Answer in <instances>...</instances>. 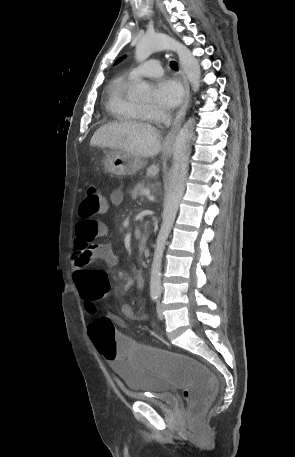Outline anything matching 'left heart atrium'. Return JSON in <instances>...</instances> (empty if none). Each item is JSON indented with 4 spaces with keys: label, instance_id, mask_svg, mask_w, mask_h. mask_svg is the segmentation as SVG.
I'll return each instance as SVG.
<instances>
[{
    "label": "left heart atrium",
    "instance_id": "obj_1",
    "mask_svg": "<svg viewBox=\"0 0 295 457\" xmlns=\"http://www.w3.org/2000/svg\"><path fill=\"white\" fill-rule=\"evenodd\" d=\"M182 88L173 79L160 80L154 89V99L157 105L164 109L176 107L182 100Z\"/></svg>",
    "mask_w": 295,
    "mask_h": 457
}]
</instances>
